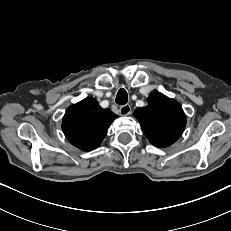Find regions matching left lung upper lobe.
<instances>
[{
    "label": "left lung upper lobe",
    "instance_id": "1",
    "mask_svg": "<svg viewBox=\"0 0 231 231\" xmlns=\"http://www.w3.org/2000/svg\"><path fill=\"white\" fill-rule=\"evenodd\" d=\"M148 105L134 111L149 141L163 148L173 144L181 136L186 117L181 105L174 99L154 91L147 99Z\"/></svg>",
    "mask_w": 231,
    "mask_h": 231
}]
</instances>
